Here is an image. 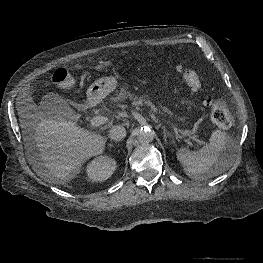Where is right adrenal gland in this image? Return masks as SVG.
Segmentation results:
<instances>
[{"instance_id": "2a0ac1e0", "label": "right adrenal gland", "mask_w": 263, "mask_h": 263, "mask_svg": "<svg viewBox=\"0 0 263 263\" xmlns=\"http://www.w3.org/2000/svg\"><path fill=\"white\" fill-rule=\"evenodd\" d=\"M117 143V142H116ZM110 147H113V144H109Z\"/></svg>"}]
</instances>
